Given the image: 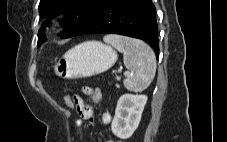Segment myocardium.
Masks as SVG:
<instances>
[{
    "instance_id": "1",
    "label": "myocardium",
    "mask_w": 227,
    "mask_h": 142,
    "mask_svg": "<svg viewBox=\"0 0 227 142\" xmlns=\"http://www.w3.org/2000/svg\"><path fill=\"white\" fill-rule=\"evenodd\" d=\"M68 21V15L65 12H55L49 18V26L53 28H58L65 25Z\"/></svg>"
}]
</instances>
